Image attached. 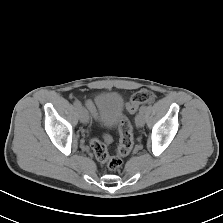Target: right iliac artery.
Segmentation results:
<instances>
[{
	"mask_svg": "<svg viewBox=\"0 0 223 223\" xmlns=\"http://www.w3.org/2000/svg\"><path fill=\"white\" fill-rule=\"evenodd\" d=\"M73 104H74V106H75L76 108H78V109L81 107V104H80L79 101H74Z\"/></svg>",
	"mask_w": 223,
	"mask_h": 223,
	"instance_id": "1",
	"label": "right iliac artery"
}]
</instances>
